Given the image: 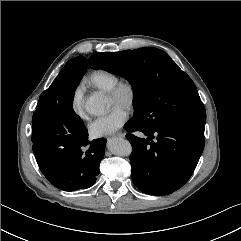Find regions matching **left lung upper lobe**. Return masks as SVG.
Instances as JSON below:
<instances>
[{
  "mask_svg": "<svg viewBox=\"0 0 241 241\" xmlns=\"http://www.w3.org/2000/svg\"><path fill=\"white\" fill-rule=\"evenodd\" d=\"M89 64L126 78L135 89L137 119L155 129L169 120L206 122V111L190 77L162 50L151 47L92 55Z\"/></svg>",
  "mask_w": 241,
  "mask_h": 241,
  "instance_id": "1",
  "label": "left lung upper lobe"
}]
</instances>
